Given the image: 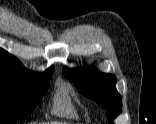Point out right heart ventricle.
I'll return each mask as SVG.
<instances>
[{"mask_svg": "<svg viewBox=\"0 0 156 124\" xmlns=\"http://www.w3.org/2000/svg\"><path fill=\"white\" fill-rule=\"evenodd\" d=\"M52 113L59 117L76 119L79 115V110L75 104L69 89L62 84L58 87L52 104Z\"/></svg>", "mask_w": 156, "mask_h": 124, "instance_id": "e07e8e85", "label": "right heart ventricle"}]
</instances>
